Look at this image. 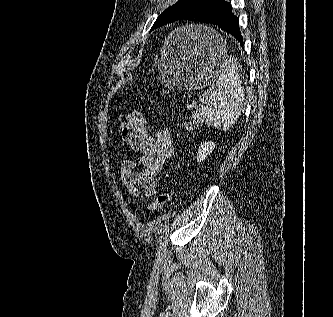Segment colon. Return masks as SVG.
<instances>
[{
  "label": "colon",
  "mask_w": 333,
  "mask_h": 317,
  "mask_svg": "<svg viewBox=\"0 0 333 317\" xmlns=\"http://www.w3.org/2000/svg\"><path fill=\"white\" fill-rule=\"evenodd\" d=\"M194 123L189 121L185 123V128L188 131H191L194 129ZM172 193L170 190H163L161 193L158 194V196L156 197V199L153 201V203L150 205L149 207V211L150 212H154L158 209H160L161 207H163L165 204H167L170 199H171Z\"/></svg>",
  "instance_id": "colon-1"
}]
</instances>
